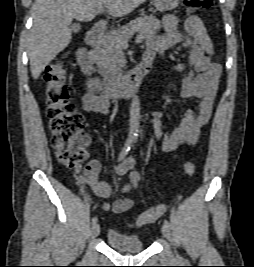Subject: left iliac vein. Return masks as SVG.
Returning <instances> with one entry per match:
<instances>
[{"label": "left iliac vein", "instance_id": "left-iliac-vein-1", "mask_svg": "<svg viewBox=\"0 0 254 267\" xmlns=\"http://www.w3.org/2000/svg\"><path fill=\"white\" fill-rule=\"evenodd\" d=\"M161 231L166 239H168L169 241H172V234L168 226H166L165 224L162 225Z\"/></svg>", "mask_w": 254, "mask_h": 267}]
</instances>
